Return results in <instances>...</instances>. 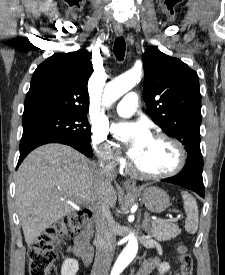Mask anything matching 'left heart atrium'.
Instances as JSON below:
<instances>
[{
    "instance_id": "39dd6f15",
    "label": "left heart atrium",
    "mask_w": 225,
    "mask_h": 275,
    "mask_svg": "<svg viewBox=\"0 0 225 275\" xmlns=\"http://www.w3.org/2000/svg\"><path fill=\"white\" fill-rule=\"evenodd\" d=\"M113 133L118 140L127 145L128 156L134 161L152 137L148 128L140 122L118 123L113 126Z\"/></svg>"
}]
</instances>
